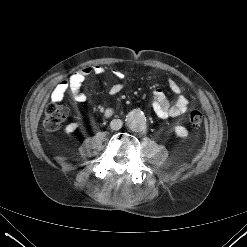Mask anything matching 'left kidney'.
Listing matches in <instances>:
<instances>
[{
	"instance_id": "obj_1",
	"label": "left kidney",
	"mask_w": 247,
	"mask_h": 247,
	"mask_svg": "<svg viewBox=\"0 0 247 247\" xmlns=\"http://www.w3.org/2000/svg\"><path fill=\"white\" fill-rule=\"evenodd\" d=\"M174 131L177 136L179 137H187L188 136V131L185 127L183 126H175Z\"/></svg>"
}]
</instances>
